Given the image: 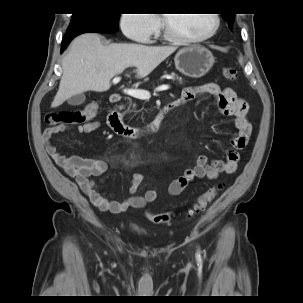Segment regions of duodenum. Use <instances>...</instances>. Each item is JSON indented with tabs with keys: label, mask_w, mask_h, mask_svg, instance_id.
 Listing matches in <instances>:
<instances>
[{
	"label": "duodenum",
	"mask_w": 303,
	"mask_h": 303,
	"mask_svg": "<svg viewBox=\"0 0 303 303\" xmlns=\"http://www.w3.org/2000/svg\"><path fill=\"white\" fill-rule=\"evenodd\" d=\"M121 96L119 94H112L110 96V102L113 104V109L108 115V121L110 122L113 131L116 135L124 138L131 139L141 135L149 134L161 127L164 118L176 107L178 103L176 101L171 102L164 106L156 115L155 119L144 126H133L125 124L122 120V114L120 112L119 102Z\"/></svg>",
	"instance_id": "obj_1"
}]
</instances>
